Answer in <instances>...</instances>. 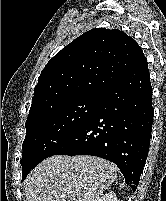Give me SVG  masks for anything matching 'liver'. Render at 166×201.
Returning <instances> with one entry per match:
<instances>
[{"instance_id": "6515ba94", "label": "liver", "mask_w": 166, "mask_h": 201, "mask_svg": "<svg viewBox=\"0 0 166 201\" xmlns=\"http://www.w3.org/2000/svg\"><path fill=\"white\" fill-rule=\"evenodd\" d=\"M117 178V167L95 156L56 155L25 180L26 201H98Z\"/></svg>"}]
</instances>
